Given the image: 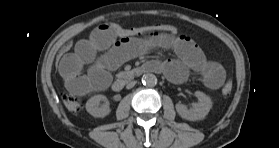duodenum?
Returning a JSON list of instances; mask_svg holds the SVG:
<instances>
[{"instance_id": "duodenum-1", "label": "duodenum", "mask_w": 279, "mask_h": 148, "mask_svg": "<svg viewBox=\"0 0 279 148\" xmlns=\"http://www.w3.org/2000/svg\"><path fill=\"white\" fill-rule=\"evenodd\" d=\"M158 70V65L155 64L154 62H146L139 67L135 68L133 72L131 73V77L133 78H138L142 74L147 73V72H152V71H157ZM128 81L127 76H121L117 78L113 83H112V89L114 91H120L124 88Z\"/></svg>"}]
</instances>
